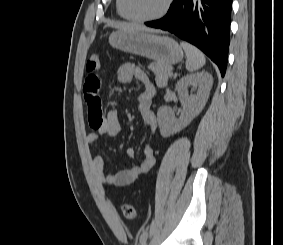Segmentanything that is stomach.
<instances>
[{
	"label": "stomach",
	"instance_id": "stomach-1",
	"mask_svg": "<svg viewBox=\"0 0 283 245\" xmlns=\"http://www.w3.org/2000/svg\"><path fill=\"white\" fill-rule=\"evenodd\" d=\"M112 47L167 65L182 61L184 53L172 38L144 31L113 32L109 37Z\"/></svg>",
	"mask_w": 283,
	"mask_h": 245
}]
</instances>
